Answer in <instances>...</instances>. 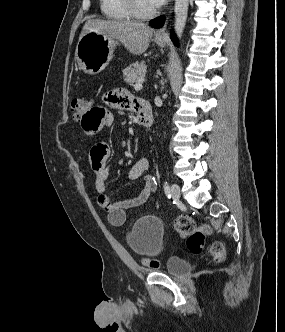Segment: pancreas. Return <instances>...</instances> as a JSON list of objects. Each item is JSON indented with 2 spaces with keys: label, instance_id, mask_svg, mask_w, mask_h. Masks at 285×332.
<instances>
[{
  "label": "pancreas",
  "instance_id": "1",
  "mask_svg": "<svg viewBox=\"0 0 285 332\" xmlns=\"http://www.w3.org/2000/svg\"><path fill=\"white\" fill-rule=\"evenodd\" d=\"M146 64L144 61L131 64L126 67L122 72L124 76V82L131 84L138 82L141 78H144L146 74Z\"/></svg>",
  "mask_w": 285,
  "mask_h": 332
}]
</instances>
